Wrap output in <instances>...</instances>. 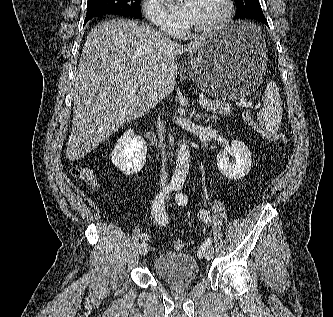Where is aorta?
<instances>
[{
	"label": "aorta",
	"mask_w": 333,
	"mask_h": 317,
	"mask_svg": "<svg viewBox=\"0 0 333 317\" xmlns=\"http://www.w3.org/2000/svg\"><path fill=\"white\" fill-rule=\"evenodd\" d=\"M189 163H190L189 145L187 144V141L183 139L179 147L178 156L176 159V167L172 178V182L174 184L176 185L184 184L189 172V165H190Z\"/></svg>",
	"instance_id": "762f6f07"
}]
</instances>
